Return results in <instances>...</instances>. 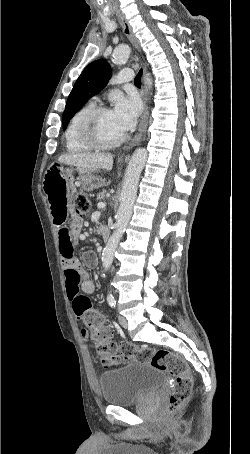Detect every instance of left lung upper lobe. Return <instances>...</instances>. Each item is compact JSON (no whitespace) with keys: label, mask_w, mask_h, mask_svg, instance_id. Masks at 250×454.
Here are the masks:
<instances>
[{"label":"left lung upper lobe","mask_w":250,"mask_h":454,"mask_svg":"<svg viewBox=\"0 0 250 454\" xmlns=\"http://www.w3.org/2000/svg\"><path fill=\"white\" fill-rule=\"evenodd\" d=\"M112 75L109 63L104 59L90 63L77 79L66 103L62 115L63 129L73 115L78 112L86 102L102 90Z\"/></svg>","instance_id":"5c2ea615"}]
</instances>
